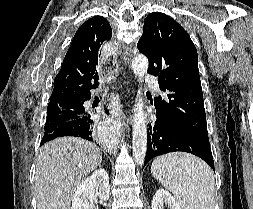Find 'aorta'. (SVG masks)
<instances>
[{"label": "aorta", "instance_id": "obj_1", "mask_svg": "<svg viewBox=\"0 0 253 209\" xmlns=\"http://www.w3.org/2000/svg\"><path fill=\"white\" fill-rule=\"evenodd\" d=\"M132 69L134 74L141 81L147 73L148 59L144 55L135 56L132 60ZM132 149L135 162L142 165L147 150V125L141 91L138 92L137 102L134 108Z\"/></svg>", "mask_w": 253, "mask_h": 209}]
</instances>
